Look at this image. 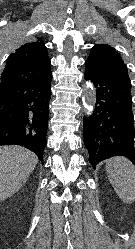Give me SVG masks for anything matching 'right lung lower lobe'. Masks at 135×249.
Here are the masks:
<instances>
[{
  "label": "right lung lower lobe",
  "instance_id": "98d812e1",
  "mask_svg": "<svg viewBox=\"0 0 135 249\" xmlns=\"http://www.w3.org/2000/svg\"><path fill=\"white\" fill-rule=\"evenodd\" d=\"M52 75L0 86V146L20 145L43 162Z\"/></svg>",
  "mask_w": 135,
  "mask_h": 249
}]
</instances>
